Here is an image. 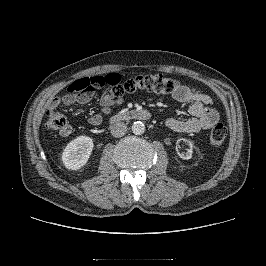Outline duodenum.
<instances>
[{"mask_svg": "<svg viewBox=\"0 0 266 266\" xmlns=\"http://www.w3.org/2000/svg\"><path fill=\"white\" fill-rule=\"evenodd\" d=\"M151 113L144 109H132L119 112L110 119L111 124H116L125 120H149Z\"/></svg>", "mask_w": 266, "mask_h": 266, "instance_id": "1", "label": "duodenum"}]
</instances>
